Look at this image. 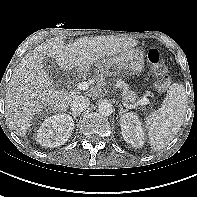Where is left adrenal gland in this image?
<instances>
[{
    "label": "left adrenal gland",
    "instance_id": "left-adrenal-gland-1",
    "mask_svg": "<svg viewBox=\"0 0 197 197\" xmlns=\"http://www.w3.org/2000/svg\"><path fill=\"white\" fill-rule=\"evenodd\" d=\"M119 107H120L119 116H121L123 113H126L127 112V110L124 109L121 104H119Z\"/></svg>",
    "mask_w": 197,
    "mask_h": 197
}]
</instances>
